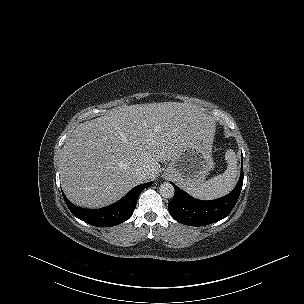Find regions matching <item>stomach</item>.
I'll return each mask as SVG.
<instances>
[{
  "mask_svg": "<svg viewBox=\"0 0 304 304\" xmlns=\"http://www.w3.org/2000/svg\"><path fill=\"white\" fill-rule=\"evenodd\" d=\"M214 167L211 145L203 139H194L169 163L164 174L184 189L202 185Z\"/></svg>",
  "mask_w": 304,
  "mask_h": 304,
  "instance_id": "stomach-1",
  "label": "stomach"
}]
</instances>
